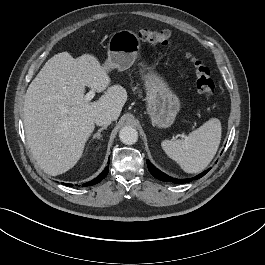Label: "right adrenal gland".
Listing matches in <instances>:
<instances>
[{
  "label": "right adrenal gland",
  "instance_id": "2a0ac1e0",
  "mask_svg": "<svg viewBox=\"0 0 265 265\" xmlns=\"http://www.w3.org/2000/svg\"><path fill=\"white\" fill-rule=\"evenodd\" d=\"M105 129H107L106 126L100 128V129H98L97 133L93 135V139H100V138H101V132H102L103 130H105Z\"/></svg>",
  "mask_w": 265,
  "mask_h": 265
}]
</instances>
